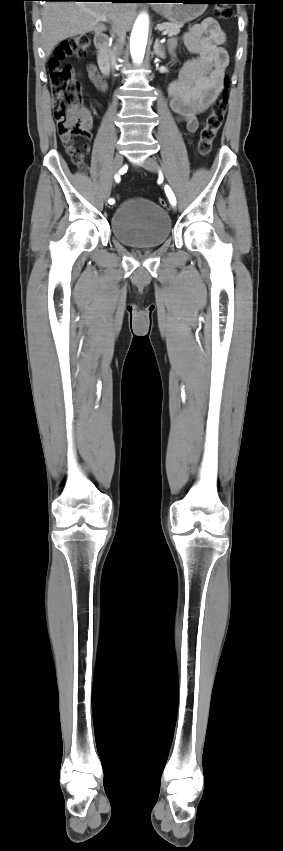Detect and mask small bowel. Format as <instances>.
<instances>
[{
	"label": "small bowel",
	"instance_id": "obj_1",
	"mask_svg": "<svg viewBox=\"0 0 283 851\" xmlns=\"http://www.w3.org/2000/svg\"><path fill=\"white\" fill-rule=\"evenodd\" d=\"M226 42L225 32L211 17L193 25L183 36L185 47L195 57L183 65L179 78L170 84L168 92L171 110L190 134L199 128L198 115L209 110L224 87L229 63ZM175 45L176 41L171 40V51ZM87 73L98 94L108 91L110 82L95 65L89 64ZM63 144L69 155L71 150L76 149L73 142ZM89 148L86 145V150Z\"/></svg>",
	"mask_w": 283,
	"mask_h": 851
}]
</instances>
